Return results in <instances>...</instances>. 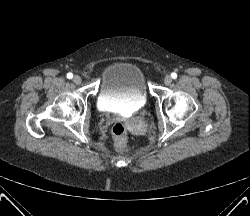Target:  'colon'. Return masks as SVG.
Wrapping results in <instances>:
<instances>
[{
  "mask_svg": "<svg viewBox=\"0 0 250 216\" xmlns=\"http://www.w3.org/2000/svg\"><path fill=\"white\" fill-rule=\"evenodd\" d=\"M112 135L115 146L120 151L128 149V134L125 125L122 122H116L112 127Z\"/></svg>",
  "mask_w": 250,
  "mask_h": 216,
  "instance_id": "5ec220e1",
  "label": "colon"
}]
</instances>
